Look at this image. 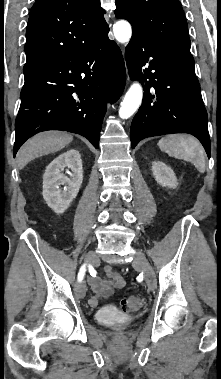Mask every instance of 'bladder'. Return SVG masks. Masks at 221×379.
Returning a JSON list of instances; mask_svg holds the SVG:
<instances>
[{
	"mask_svg": "<svg viewBox=\"0 0 221 379\" xmlns=\"http://www.w3.org/2000/svg\"><path fill=\"white\" fill-rule=\"evenodd\" d=\"M95 320L99 324H102L105 326H111L115 324L126 325L132 322L133 317L131 316L118 317V316L113 315L108 310H100L95 314Z\"/></svg>",
	"mask_w": 221,
	"mask_h": 379,
	"instance_id": "bladder-1",
	"label": "bladder"
}]
</instances>
